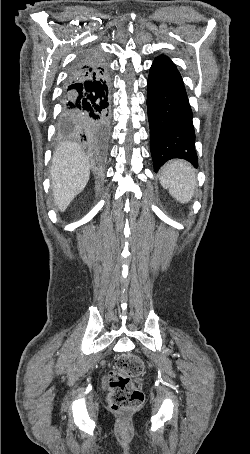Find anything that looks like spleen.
Segmentation results:
<instances>
[{
	"label": "spleen",
	"mask_w": 250,
	"mask_h": 454,
	"mask_svg": "<svg viewBox=\"0 0 250 454\" xmlns=\"http://www.w3.org/2000/svg\"><path fill=\"white\" fill-rule=\"evenodd\" d=\"M160 183L177 201L187 203L194 194L195 171L186 161H170L161 170Z\"/></svg>",
	"instance_id": "spleen-1"
}]
</instances>
